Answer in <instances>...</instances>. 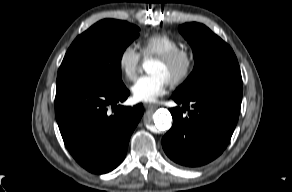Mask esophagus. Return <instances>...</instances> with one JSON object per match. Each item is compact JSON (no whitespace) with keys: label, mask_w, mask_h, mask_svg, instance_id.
<instances>
[{"label":"esophagus","mask_w":292,"mask_h":192,"mask_svg":"<svg viewBox=\"0 0 292 192\" xmlns=\"http://www.w3.org/2000/svg\"><path fill=\"white\" fill-rule=\"evenodd\" d=\"M146 109H156L157 105L156 104H150V103H146L144 104Z\"/></svg>","instance_id":"34e87169"}]
</instances>
